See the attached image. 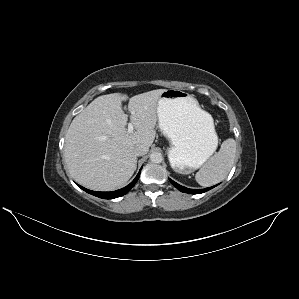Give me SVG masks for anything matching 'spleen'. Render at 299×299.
<instances>
[{
    "label": "spleen",
    "instance_id": "obj_1",
    "mask_svg": "<svg viewBox=\"0 0 299 299\" xmlns=\"http://www.w3.org/2000/svg\"><path fill=\"white\" fill-rule=\"evenodd\" d=\"M235 154L236 141L232 138L226 139L220 150L196 173L197 183L209 187L224 180L234 164Z\"/></svg>",
    "mask_w": 299,
    "mask_h": 299
}]
</instances>
